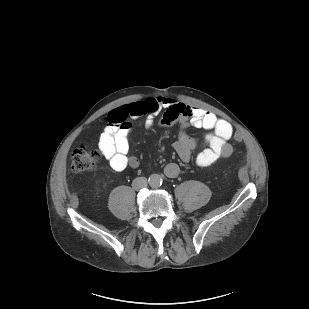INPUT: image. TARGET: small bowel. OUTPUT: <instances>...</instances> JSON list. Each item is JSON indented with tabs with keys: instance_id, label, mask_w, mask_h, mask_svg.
<instances>
[{
	"instance_id": "small-bowel-1",
	"label": "small bowel",
	"mask_w": 309,
	"mask_h": 309,
	"mask_svg": "<svg viewBox=\"0 0 309 309\" xmlns=\"http://www.w3.org/2000/svg\"><path fill=\"white\" fill-rule=\"evenodd\" d=\"M164 111L162 123L178 121L182 130L174 148L184 163L192 157L196 146L195 140L187 134L184 128L189 124L208 131L204 148L195 158L199 167H208L220 158H227L232 154L229 143L233 135V128L229 122L218 118L214 113L199 107L179 103L169 97H153L143 101H134L128 105L116 107L108 116V123L99 138V149L110 167L115 171H122L127 167L136 168L139 161L129 155V119L146 116V126L153 125V119L160 111ZM165 175L175 178L180 173L177 164L170 163L165 167Z\"/></svg>"
}]
</instances>
